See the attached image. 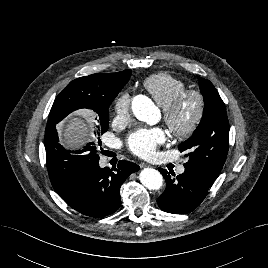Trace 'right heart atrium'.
<instances>
[{"label": "right heart atrium", "mask_w": 268, "mask_h": 268, "mask_svg": "<svg viewBox=\"0 0 268 268\" xmlns=\"http://www.w3.org/2000/svg\"><path fill=\"white\" fill-rule=\"evenodd\" d=\"M131 96L129 92H122L114 103V111L117 117L127 120L130 117Z\"/></svg>", "instance_id": "d8ad5b80"}]
</instances>
